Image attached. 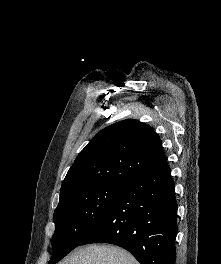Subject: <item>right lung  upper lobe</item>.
I'll use <instances>...</instances> for the list:
<instances>
[{
    "label": "right lung upper lobe",
    "mask_w": 221,
    "mask_h": 264,
    "mask_svg": "<svg viewBox=\"0 0 221 264\" xmlns=\"http://www.w3.org/2000/svg\"><path fill=\"white\" fill-rule=\"evenodd\" d=\"M167 165L159 136L128 119L100 132L79 153L61 186L60 201L86 188L128 181Z\"/></svg>",
    "instance_id": "cb5924a9"
}]
</instances>
